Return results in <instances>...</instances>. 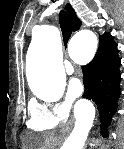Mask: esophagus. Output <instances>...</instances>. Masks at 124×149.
I'll use <instances>...</instances> for the list:
<instances>
[{
  "mask_svg": "<svg viewBox=\"0 0 124 149\" xmlns=\"http://www.w3.org/2000/svg\"><path fill=\"white\" fill-rule=\"evenodd\" d=\"M72 123H73L72 121H69V122L67 123V125L61 129V131H60L61 134H66V133H68V132L70 131V129H71Z\"/></svg>",
  "mask_w": 124,
  "mask_h": 149,
  "instance_id": "1",
  "label": "esophagus"
}]
</instances>
